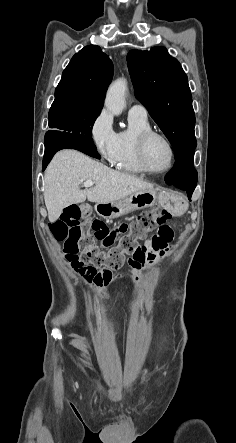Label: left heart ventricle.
<instances>
[{"instance_id":"obj_1","label":"left heart ventricle","mask_w":236,"mask_h":443,"mask_svg":"<svg viewBox=\"0 0 236 443\" xmlns=\"http://www.w3.org/2000/svg\"><path fill=\"white\" fill-rule=\"evenodd\" d=\"M146 159L153 170L166 168L170 161V150L166 142L159 137L151 138L146 147Z\"/></svg>"}]
</instances>
